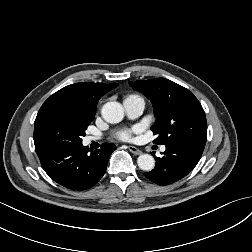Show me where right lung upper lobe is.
I'll return each instance as SVG.
<instances>
[{
	"label": "right lung upper lobe",
	"mask_w": 252,
	"mask_h": 252,
	"mask_svg": "<svg viewBox=\"0 0 252 252\" xmlns=\"http://www.w3.org/2000/svg\"><path fill=\"white\" fill-rule=\"evenodd\" d=\"M117 86V83L91 82L68 85L51 95L44 102L37 116L51 108H63L78 115L94 117L99 99Z\"/></svg>",
	"instance_id": "1"
}]
</instances>
